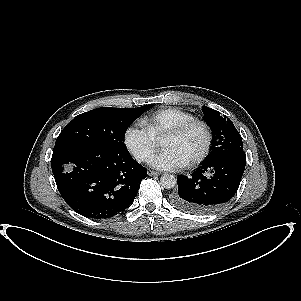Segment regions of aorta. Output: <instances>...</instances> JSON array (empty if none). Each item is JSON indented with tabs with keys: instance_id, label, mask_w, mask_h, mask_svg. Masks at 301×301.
<instances>
[{
	"instance_id": "aorta-1",
	"label": "aorta",
	"mask_w": 301,
	"mask_h": 301,
	"mask_svg": "<svg viewBox=\"0 0 301 301\" xmlns=\"http://www.w3.org/2000/svg\"><path fill=\"white\" fill-rule=\"evenodd\" d=\"M160 184L165 189H172L176 186L177 181L174 175L172 174H164L160 178Z\"/></svg>"
}]
</instances>
